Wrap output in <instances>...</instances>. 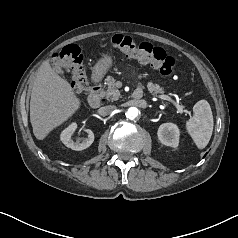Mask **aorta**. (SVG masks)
Instances as JSON below:
<instances>
[{"mask_svg": "<svg viewBox=\"0 0 238 238\" xmlns=\"http://www.w3.org/2000/svg\"><path fill=\"white\" fill-rule=\"evenodd\" d=\"M139 114V110L136 107H130L126 112V117L128 119L134 120Z\"/></svg>", "mask_w": 238, "mask_h": 238, "instance_id": "obj_1", "label": "aorta"}]
</instances>
